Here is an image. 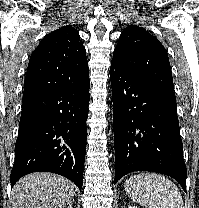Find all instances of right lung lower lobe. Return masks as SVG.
<instances>
[{
    "mask_svg": "<svg viewBox=\"0 0 199 208\" xmlns=\"http://www.w3.org/2000/svg\"><path fill=\"white\" fill-rule=\"evenodd\" d=\"M89 87L88 78L23 98L11 188L24 175L38 171L60 174L82 188Z\"/></svg>",
    "mask_w": 199,
    "mask_h": 208,
    "instance_id": "right-lung-lower-lobe-1",
    "label": "right lung lower lobe"
}]
</instances>
